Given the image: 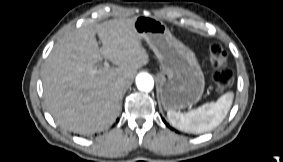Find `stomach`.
Returning a JSON list of instances; mask_svg holds the SVG:
<instances>
[{"label":"stomach","instance_id":"stomach-1","mask_svg":"<svg viewBox=\"0 0 283 162\" xmlns=\"http://www.w3.org/2000/svg\"><path fill=\"white\" fill-rule=\"evenodd\" d=\"M132 27L158 58L162 71L157 75L162 105L179 110L196 104L204 91V75L197 58L168 27L152 16L134 18Z\"/></svg>","mask_w":283,"mask_h":162}]
</instances>
